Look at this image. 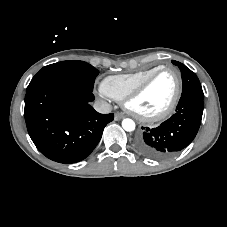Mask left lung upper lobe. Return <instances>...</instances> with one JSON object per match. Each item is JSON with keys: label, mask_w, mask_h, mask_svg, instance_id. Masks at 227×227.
<instances>
[{"label": "left lung upper lobe", "mask_w": 227, "mask_h": 227, "mask_svg": "<svg viewBox=\"0 0 227 227\" xmlns=\"http://www.w3.org/2000/svg\"><path fill=\"white\" fill-rule=\"evenodd\" d=\"M172 63L178 66L181 71L183 82L182 93L188 91L203 92L199 79L197 78L194 72H192L188 67H186L184 64L180 62L172 60Z\"/></svg>", "instance_id": "left-lung-upper-lobe-1"}]
</instances>
